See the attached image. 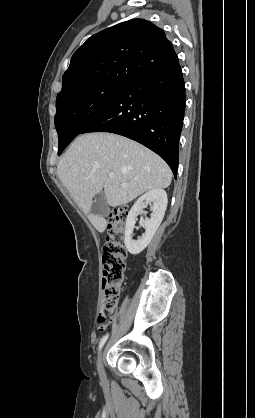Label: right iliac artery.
<instances>
[{
    "label": "right iliac artery",
    "instance_id": "1",
    "mask_svg": "<svg viewBox=\"0 0 255 418\" xmlns=\"http://www.w3.org/2000/svg\"><path fill=\"white\" fill-rule=\"evenodd\" d=\"M108 334L107 335H105V336H103V338L100 340V343H99V351L102 349V347H103V345L105 344V342L107 341V339H108Z\"/></svg>",
    "mask_w": 255,
    "mask_h": 418
}]
</instances>
